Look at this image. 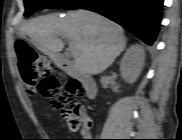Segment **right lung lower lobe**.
<instances>
[{
    "instance_id": "1",
    "label": "right lung lower lobe",
    "mask_w": 182,
    "mask_h": 140,
    "mask_svg": "<svg viewBox=\"0 0 182 140\" xmlns=\"http://www.w3.org/2000/svg\"><path fill=\"white\" fill-rule=\"evenodd\" d=\"M162 7L163 0H91L80 8L117 22L152 45L160 28Z\"/></svg>"
}]
</instances>
